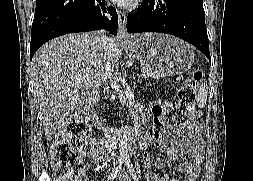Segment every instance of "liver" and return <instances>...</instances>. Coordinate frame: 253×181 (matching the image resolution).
<instances>
[{"label":"liver","mask_w":253,"mask_h":181,"mask_svg":"<svg viewBox=\"0 0 253 181\" xmlns=\"http://www.w3.org/2000/svg\"><path fill=\"white\" fill-rule=\"evenodd\" d=\"M111 53L97 32L69 34L44 44L32 59V82L44 116L45 137L52 140L62 122L102 82L114 77L121 57L120 42Z\"/></svg>","instance_id":"6515ba94"}]
</instances>
